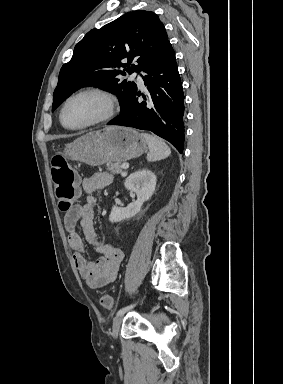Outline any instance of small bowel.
Here are the masks:
<instances>
[{
  "label": "small bowel",
  "instance_id": "obj_1",
  "mask_svg": "<svg viewBox=\"0 0 283 384\" xmlns=\"http://www.w3.org/2000/svg\"><path fill=\"white\" fill-rule=\"evenodd\" d=\"M112 182V175L95 172L84 178L82 189L87 194L83 204H76L64 216V225L68 232V243L73 251V261L81 277L92 289L102 288L113 282L117 276L123 252L118 247L103 243L97 235L94 219V194ZM84 235L88 244L100 255L95 261L85 257Z\"/></svg>",
  "mask_w": 283,
  "mask_h": 384
}]
</instances>
